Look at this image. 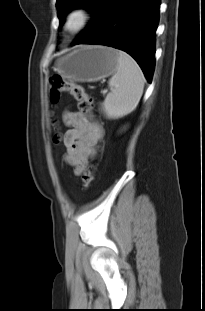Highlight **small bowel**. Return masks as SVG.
<instances>
[{
    "label": "small bowel",
    "instance_id": "small-bowel-1",
    "mask_svg": "<svg viewBox=\"0 0 205 311\" xmlns=\"http://www.w3.org/2000/svg\"><path fill=\"white\" fill-rule=\"evenodd\" d=\"M63 121L68 127L63 137L66 149L63 159L74 167L76 174H80L87 161L96 155L104 130L81 110L65 111Z\"/></svg>",
    "mask_w": 205,
    "mask_h": 311
}]
</instances>
